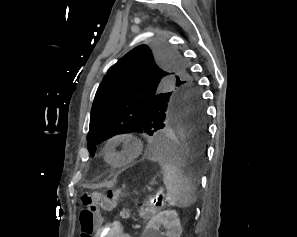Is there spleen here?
<instances>
[{
    "label": "spleen",
    "mask_w": 297,
    "mask_h": 237,
    "mask_svg": "<svg viewBox=\"0 0 297 237\" xmlns=\"http://www.w3.org/2000/svg\"><path fill=\"white\" fill-rule=\"evenodd\" d=\"M159 163L163 171L168 203L180 208L193 205L196 200V189L191 179L183 174L180 167H175L173 161L160 158Z\"/></svg>",
    "instance_id": "spleen-1"
}]
</instances>
